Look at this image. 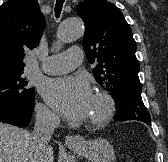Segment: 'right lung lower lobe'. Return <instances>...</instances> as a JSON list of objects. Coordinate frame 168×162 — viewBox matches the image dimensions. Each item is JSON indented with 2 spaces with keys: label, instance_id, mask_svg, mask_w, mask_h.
Returning <instances> with one entry per match:
<instances>
[{
  "label": "right lung lower lobe",
  "instance_id": "1",
  "mask_svg": "<svg viewBox=\"0 0 168 162\" xmlns=\"http://www.w3.org/2000/svg\"><path fill=\"white\" fill-rule=\"evenodd\" d=\"M32 107L0 102V122L23 127L30 122Z\"/></svg>",
  "mask_w": 168,
  "mask_h": 162
}]
</instances>
